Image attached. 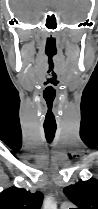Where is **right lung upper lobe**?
<instances>
[{
	"label": "right lung upper lobe",
	"instance_id": "cb5924a9",
	"mask_svg": "<svg viewBox=\"0 0 98 209\" xmlns=\"http://www.w3.org/2000/svg\"><path fill=\"white\" fill-rule=\"evenodd\" d=\"M43 194L10 187L0 193V209H40Z\"/></svg>",
	"mask_w": 98,
	"mask_h": 209
}]
</instances>
